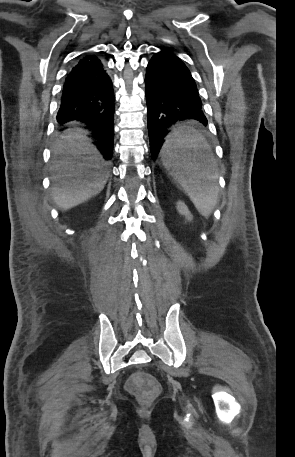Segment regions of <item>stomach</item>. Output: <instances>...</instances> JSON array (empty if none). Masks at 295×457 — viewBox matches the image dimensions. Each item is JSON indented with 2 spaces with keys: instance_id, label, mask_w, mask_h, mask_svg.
<instances>
[{
  "instance_id": "0dacf381",
  "label": "stomach",
  "mask_w": 295,
  "mask_h": 457,
  "mask_svg": "<svg viewBox=\"0 0 295 457\" xmlns=\"http://www.w3.org/2000/svg\"><path fill=\"white\" fill-rule=\"evenodd\" d=\"M161 160H162V163L165 164L166 161L163 158H161Z\"/></svg>"
}]
</instances>
